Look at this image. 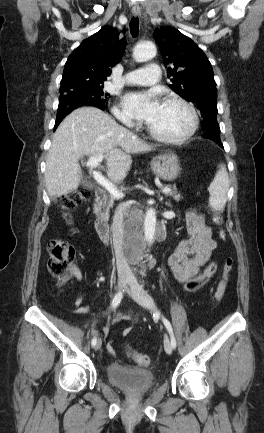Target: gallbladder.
Returning <instances> with one entry per match:
<instances>
[{"instance_id":"obj_1","label":"gallbladder","mask_w":264,"mask_h":433,"mask_svg":"<svg viewBox=\"0 0 264 433\" xmlns=\"http://www.w3.org/2000/svg\"><path fill=\"white\" fill-rule=\"evenodd\" d=\"M80 183H81V185H83L84 187H88V188H92L93 186L86 180V179H84L83 177L81 178V181H80Z\"/></svg>"}]
</instances>
